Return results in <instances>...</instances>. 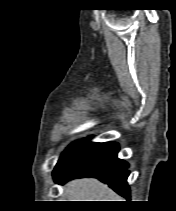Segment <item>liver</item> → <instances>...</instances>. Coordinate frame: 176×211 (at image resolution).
<instances>
[{
  "mask_svg": "<svg viewBox=\"0 0 176 211\" xmlns=\"http://www.w3.org/2000/svg\"><path fill=\"white\" fill-rule=\"evenodd\" d=\"M68 201H121L115 192L97 179L83 178L70 181L65 186Z\"/></svg>",
  "mask_w": 176,
  "mask_h": 211,
  "instance_id": "1",
  "label": "liver"
}]
</instances>
